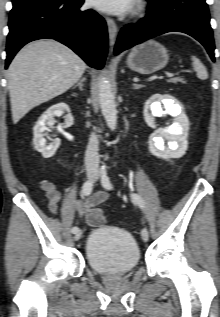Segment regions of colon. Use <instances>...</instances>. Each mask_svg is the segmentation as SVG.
Masks as SVG:
<instances>
[{
    "label": "colon",
    "instance_id": "colon-1",
    "mask_svg": "<svg viewBox=\"0 0 220 317\" xmlns=\"http://www.w3.org/2000/svg\"><path fill=\"white\" fill-rule=\"evenodd\" d=\"M87 223L91 227L102 226L105 222V217L100 209H92L87 214Z\"/></svg>",
    "mask_w": 220,
    "mask_h": 317
}]
</instances>
